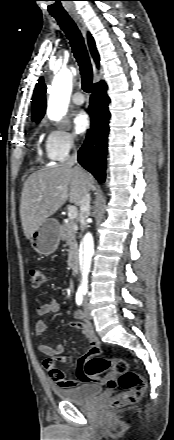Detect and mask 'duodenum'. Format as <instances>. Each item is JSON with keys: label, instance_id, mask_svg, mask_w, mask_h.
<instances>
[{"label": "duodenum", "instance_id": "410a0bca", "mask_svg": "<svg viewBox=\"0 0 174 440\" xmlns=\"http://www.w3.org/2000/svg\"><path fill=\"white\" fill-rule=\"evenodd\" d=\"M69 267L73 272L79 271V261L76 256H72L69 260Z\"/></svg>", "mask_w": 174, "mask_h": 440}]
</instances>
